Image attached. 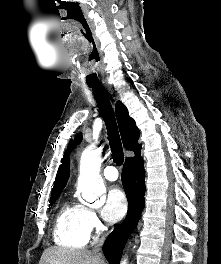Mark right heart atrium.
Wrapping results in <instances>:
<instances>
[{
  "mask_svg": "<svg viewBox=\"0 0 221 264\" xmlns=\"http://www.w3.org/2000/svg\"><path fill=\"white\" fill-rule=\"evenodd\" d=\"M86 222L90 232L98 230L100 228V222L96 214L91 210H87L86 212Z\"/></svg>",
  "mask_w": 221,
  "mask_h": 264,
  "instance_id": "right-heart-atrium-1",
  "label": "right heart atrium"
}]
</instances>
